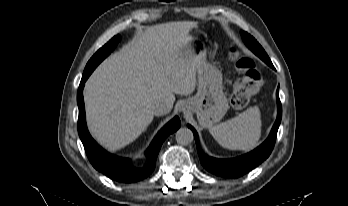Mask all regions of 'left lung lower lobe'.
<instances>
[{"mask_svg": "<svg viewBox=\"0 0 348 206\" xmlns=\"http://www.w3.org/2000/svg\"><path fill=\"white\" fill-rule=\"evenodd\" d=\"M277 102H278L277 120L267 140L263 144H261L258 148L253 150L252 152L245 154L243 156H240L238 158L229 159V160H219L216 158L205 156L199 148V140H198L197 132L192 126L189 125L188 127L194 133V138L197 144L199 158L203 167L209 172L219 176L237 178L251 171L256 166H258L261 162H263L273 150L277 131L281 122L282 107L279 100L278 91H277Z\"/></svg>", "mask_w": 348, "mask_h": 206, "instance_id": "1", "label": "left lung lower lobe"}]
</instances>
